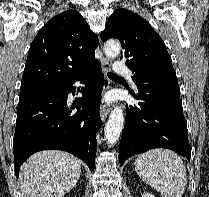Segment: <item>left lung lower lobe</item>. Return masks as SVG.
<instances>
[{
	"label": "left lung lower lobe",
	"mask_w": 209,
	"mask_h": 197,
	"mask_svg": "<svg viewBox=\"0 0 209 197\" xmlns=\"http://www.w3.org/2000/svg\"><path fill=\"white\" fill-rule=\"evenodd\" d=\"M138 106H126L119 146L120 166L132 155L168 148L190 160L187 123L178 85L137 83Z\"/></svg>",
	"instance_id": "1"
}]
</instances>
